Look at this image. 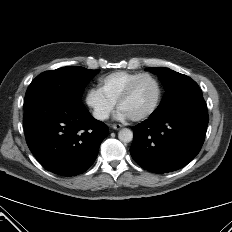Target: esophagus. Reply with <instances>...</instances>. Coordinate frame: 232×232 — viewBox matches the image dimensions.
Masks as SVG:
<instances>
[{
	"label": "esophagus",
	"mask_w": 232,
	"mask_h": 232,
	"mask_svg": "<svg viewBox=\"0 0 232 232\" xmlns=\"http://www.w3.org/2000/svg\"><path fill=\"white\" fill-rule=\"evenodd\" d=\"M111 127H112L113 129H115V130H119V129L122 128V125H121V124H113Z\"/></svg>",
	"instance_id": "34e87169"
}]
</instances>
